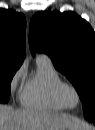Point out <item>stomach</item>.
<instances>
[{
    "instance_id": "1",
    "label": "stomach",
    "mask_w": 95,
    "mask_h": 130,
    "mask_svg": "<svg viewBox=\"0 0 95 130\" xmlns=\"http://www.w3.org/2000/svg\"><path fill=\"white\" fill-rule=\"evenodd\" d=\"M66 130H83L82 128H77L76 126H70Z\"/></svg>"
}]
</instances>
